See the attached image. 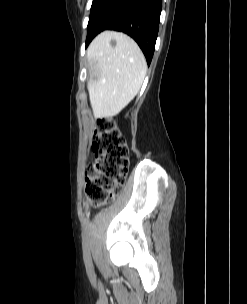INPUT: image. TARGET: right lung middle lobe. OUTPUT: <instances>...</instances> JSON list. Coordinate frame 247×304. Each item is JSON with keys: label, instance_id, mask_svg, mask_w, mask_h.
<instances>
[{"label": "right lung middle lobe", "instance_id": "dd1d6c3e", "mask_svg": "<svg viewBox=\"0 0 247 304\" xmlns=\"http://www.w3.org/2000/svg\"><path fill=\"white\" fill-rule=\"evenodd\" d=\"M97 0H93V3H92V7L94 6V4L96 3ZM91 7V9H92Z\"/></svg>", "mask_w": 247, "mask_h": 304}]
</instances>
